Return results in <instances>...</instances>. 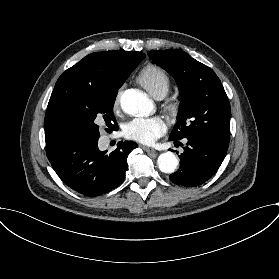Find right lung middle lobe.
I'll return each mask as SVG.
<instances>
[{"label":"right lung middle lobe","mask_w":279,"mask_h":279,"mask_svg":"<svg viewBox=\"0 0 279 279\" xmlns=\"http://www.w3.org/2000/svg\"><path fill=\"white\" fill-rule=\"evenodd\" d=\"M125 82L71 86L60 90L50 101L45 116V135L60 155L78 151L100 137L99 122L118 128L113 105Z\"/></svg>","instance_id":"obj_1"}]
</instances>
